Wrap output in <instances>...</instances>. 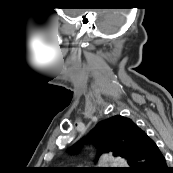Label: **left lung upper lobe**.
I'll use <instances>...</instances> for the list:
<instances>
[{
    "label": "left lung upper lobe",
    "mask_w": 173,
    "mask_h": 173,
    "mask_svg": "<svg viewBox=\"0 0 173 173\" xmlns=\"http://www.w3.org/2000/svg\"><path fill=\"white\" fill-rule=\"evenodd\" d=\"M143 131L130 118L116 115L99 122L93 130V138H83L71 147L72 152L80 149L83 141L93 143L97 148V159L102 153L111 152L113 156L127 159L139 149ZM96 159V160H97ZM87 173L107 172L105 169L91 168Z\"/></svg>",
    "instance_id": "obj_1"
}]
</instances>
